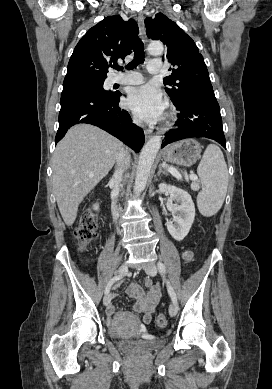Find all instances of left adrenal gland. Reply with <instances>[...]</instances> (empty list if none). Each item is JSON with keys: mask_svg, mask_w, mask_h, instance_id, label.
Returning <instances> with one entry per match:
<instances>
[{"mask_svg": "<svg viewBox=\"0 0 272 389\" xmlns=\"http://www.w3.org/2000/svg\"><path fill=\"white\" fill-rule=\"evenodd\" d=\"M161 173H163L164 175H167V172L162 169L161 165H159V170L157 172V176H160Z\"/></svg>", "mask_w": 272, "mask_h": 389, "instance_id": "obj_1", "label": "left adrenal gland"}]
</instances>
